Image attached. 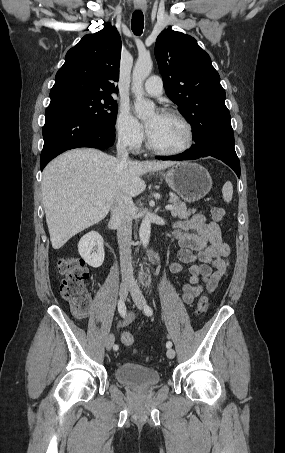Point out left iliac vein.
Returning a JSON list of instances; mask_svg holds the SVG:
<instances>
[{"label":"left iliac vein","instance_id":"4c4485c4","mask_svg":"<svg viewBox=\"0 0 285 453\" xmlns=\"http://www.w3.org/2000/svg\"><path fill=\"white\" fill-rule=\"evenodd\" d=\"M131 296L136 304V306L142 310L146 305V300L137 284H133L131 288ZM167 357L169 359H173L175 357V350L172 348H168L167 350Z\"/></svg>","mask_w":285,"mask_h":453}]
</instances>
